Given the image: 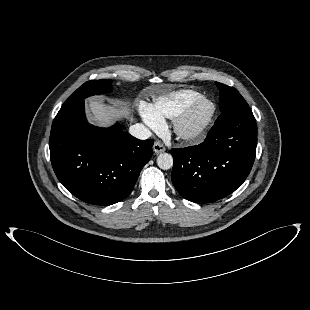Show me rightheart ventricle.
<instances>
[{
    "label": "right heart ventricle",
    "instance_id": "e07e8e85",
    "mask_svg": "<svg viewBox=\"0 0 310 310\" xmlns=\"http://www.w3.org/2000/svg\"><path fill=\"white\" fill-rule=\"evenodd\" d=\"M201 94L191 89H181L161 95L154 99L150 111L161 120L175 118L191 101Z\"/></svg>",
    "mask_w": 310,
    "mask_h": 310
}]
</instances>
